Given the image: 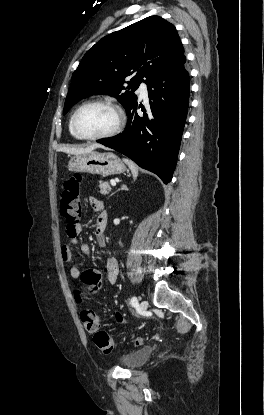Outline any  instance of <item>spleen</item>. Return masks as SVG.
<instances>
[{"label":"spleen","mask_w":264,"mask_h":415,"mask_svg":"<svg viewBox=\"0 0 264 415\" xmlns=\"http://www.w3.org/2000/svg\"><path fill=\"white\" fill-rule=\"evenodd\" d=\"M123 161L130 168V170L132 172V175H133V179L135 180L137 178V176H138V168H137L136 164L133 161L127 159V158H124Z\"/></svg>","instance_id":"spleen-1"}]
</instances>
